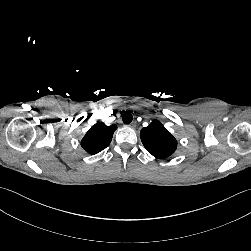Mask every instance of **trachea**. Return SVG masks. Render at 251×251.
I'll return each mask as SVG.
<instances>
[{"label":"trachea","mask_w":251,"mask_h":251,"mask_svg":"<svg viewBox=\"0 0 251 251\" xmlns=\"http://www.w3.org/2000/svg\"><path fill=\"white\" fill-rule=\"evenodd\" d=\"M133 120V116L130 112H125L123 115V123L130 124Z\"/></svg>","instance_id":"obj_1"}]
</instances>
